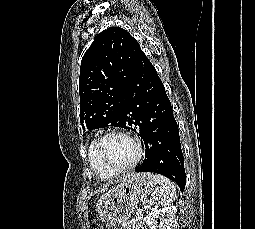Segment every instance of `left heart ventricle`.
<instances>
[{
    "instance_id": "obj_1",
    "label": "left heart ventricle",
    "mask_w": 255,
    "mask_h": 229,
    "mask_svg": "<svg viewBox=\"0 0 255 229\" xmlns=\"http://www.w3.org/2000/svg\"><path fill=\"white\" fill-rule=\"evenodd\" d=\"M101 159L114 168L129 164L135 157L134 145L125 137L110 136L99 147Z\"/></svg>"
}]
</instances>
